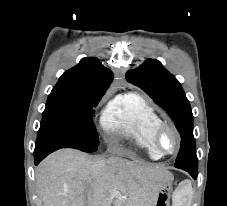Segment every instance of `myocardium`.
Wrapping results in <instances>:
<instances>
[{
	"instance_id": "1",
	"label": "myocardium",
	"mask_w": 227,
	"mask_h": 206,
	"mask_svg": "<svg viewBox=\"0 0 227 206\" xmlns=\"http://www.w3.org/2000/svg\"><path fill=\"white\" fill-rule=\"evenodd\" d=\"M166 132H171L175 138V147L171 152L163 149L161 141L162 137ZM181 144V138L178 130L171 124L162 122L153 131L152 134V145L154 149L161 155H173L178 152Z\"/></svg>"
}]
</instances>
